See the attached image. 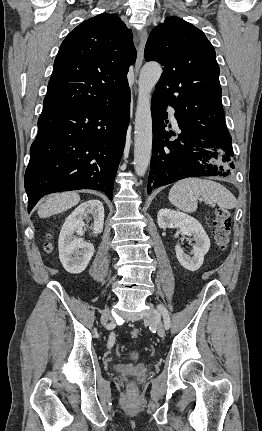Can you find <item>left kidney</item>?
Here are the masks:
<instances>
[{
  "mask_svg": "<svg viewBox=\"0 0 262 431\" xmlns=\"http://www.w3.org/2000/svg\"><path fill=\"white\" fill-rule=\"evenodd\" d=\"M160 228L179 227L183 235L193 236L192 256L184 253L180 245L175 246L176 257L179 263L189 271L198 270L204 261V256L210 248V239L201 224L188 214L171 210L161 209L157 215Z\"/></svg>",
  "mask_w": 262,
  "mask_h": 431,
  "instance_id": "1",
  "label": "left kidney"
}]
</instances>
